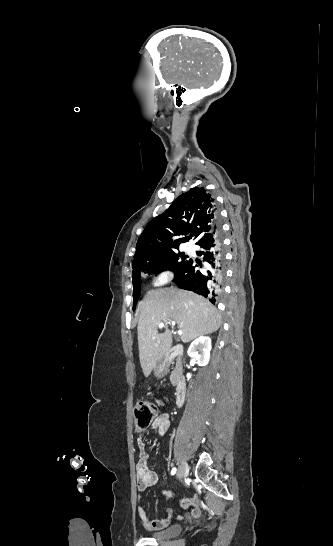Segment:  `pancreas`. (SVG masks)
Returning a JSON list of instances; mask_svg holds the SVG:
<instances>
[{
  "mask_svg": "<svg viewBox=\"0 0 333 546\" xmlns=\"http://www.w3.org/2000/svg\"><path fill=\"white\" fill-rule=\"evenodd\" d=\"M180 374L177 371L173 372L170 376L171 383L175 386L179 383Z\"/></svg>",
  "mask_w": 333,
  "mask_h": 546,
  "instance_id": "cf45deb5",
  "label": "pancreas"
}]
</instances>
